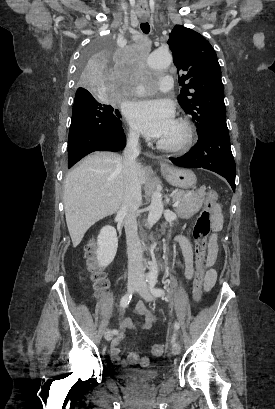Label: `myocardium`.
I'll list each match as a JSON object with an SVG mask.
<instances>
[{"label":"myocardium","mask_w":275,"mask_h":409,"mask_svg":"<svg viewBox=\"0 0 275 409\" xmlns=\"http://www.w3.org/2000/svg\"><path fill=\"white\" fill-rule=\"evenodd\" d=\"M174 123L180 130L179 137L172 142L157 140L155 144L158 149L165 152H178L185 149L191 143L193 130L190 123L184 119H177Z\"/></svg>","instance_id":"myocardium-1"}]
</instances>
